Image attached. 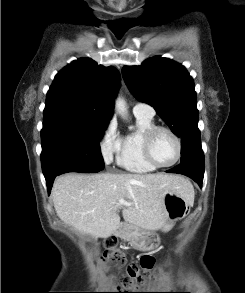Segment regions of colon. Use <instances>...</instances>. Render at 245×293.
<instances>
[{
    "mask_svg": "<svg viewBox=\"0 0 245 293\" xmlns=\"http://www.w3.org/2000/svg\"><path fill=\"white\" fill-rule=\"evenodd\" d=\"M117 239L115 237H109L105 240V246L108 249L115 247ZM108 260L116 265L124 263V257L117 251H111L107 256ZM154 265V259L151 256H142L139 262H132L127 266L126 275L122 278V283L125 286H129L132 282H140L144 277V273L151 269ZM129 293V292H119ZM144 293V292H140ZM146 293V292H145Z\"/></svg>",
    "mask_w": 245,
    "mask_h": 293,
    "instance_id": "5ec220e1",
    "label": "colon"
}]
</instances>
